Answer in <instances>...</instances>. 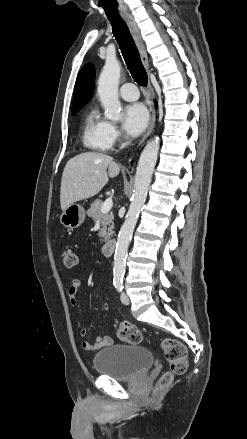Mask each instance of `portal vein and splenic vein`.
<instances>
[{"mask_svg": "<svg viewBox=\"0 0 247 439\" xmlns=\"http://www.w3.org/2000/svg\"><path fill=\"white\" fill-rule=\"evenodd\" d=\"M112 206H113L112 198H107L102 205L101 213L102 214L108 213L111 210Z\"/></svg>", "mask_w": 247, "mask_h": 439, "instance_id": "obj_1", "label": "portal vein and splenic vein"}]
</instances>
